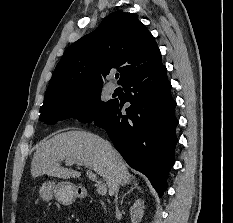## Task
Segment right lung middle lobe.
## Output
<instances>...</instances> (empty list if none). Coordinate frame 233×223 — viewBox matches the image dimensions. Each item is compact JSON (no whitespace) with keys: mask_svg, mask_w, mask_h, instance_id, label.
<instances>
[{"mask_svg":"<svg viewBox=\"0 0 233 223\" xmlns=\"http://www.w3.org/2000/svg\"><path fill=\"white\" fill-rule=\"evenodd\" d=\"M112 102L113 100L101 101V88H96L42 105L40 113L42 121L49 125L70 117L90 123Z\"/></svg>","mask_w":233,"mask_h":223,"instance_id":"1","label":"right lung middle lobe"}]
</instances>
